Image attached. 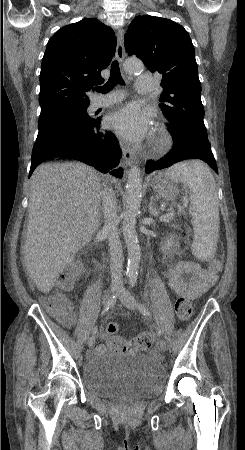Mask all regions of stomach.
<instances>
[{"label":"stomach","instance_id":"1","mask_svg":"<svg viewBox=\"0 0 245 450\" xmlns=\"http://www.w3.org/2000/svg\"><path fill=\"white\" fill-rule=\"evenodd\" d=\"M152 187L155 194L166 201L175 200L180 192L177 182L162 173L153 177Z\"/></svg>","mask_w":245,"mask_h":450}]
</instances>
